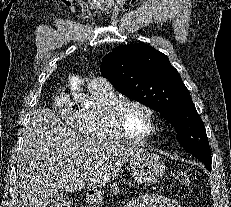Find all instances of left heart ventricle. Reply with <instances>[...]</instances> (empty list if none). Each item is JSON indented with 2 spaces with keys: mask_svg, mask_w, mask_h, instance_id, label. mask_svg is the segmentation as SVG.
Returning a JSON list of instances; mask_svg holds the SVG:
<instances>
[{
  "mask_svg": "<svg viewBox=\"0 0 231 207\" xmlns=\"http://www.w3.org/2000/svg\"><path fill=\"white\" fill-rule=\"evenodd\" d=\"M123 122L127 131L134 137H145L151 131L148 113L137 105H128L123 111Z\"/></svg>",
  "mask_w": 231,
  "mask_h": 207,
  "instance_id": "b2bd125f",
  "label": "left heart ventricle"
}]
</instances>
